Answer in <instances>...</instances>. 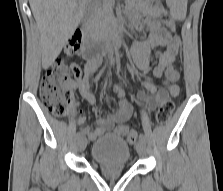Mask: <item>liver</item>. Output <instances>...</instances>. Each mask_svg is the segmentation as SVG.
Returning <instances> with one entry per match:
<instances>
[{
	"label": "liver",
	"instance_id": "obj_1",
	"mask_svg": "<svg viewBox=\"0 0 223 191\" xmlns=\"http://www.w3.org/2000/svg\"><path fill=\"white\" fill-rule=\"evenodd\" d=\"M88 0H29L40 31L42 67L48 68L67 44Z\"/></svg>",
	"mask_w": 223,
	"mask_h": 191
}]
</instances>
